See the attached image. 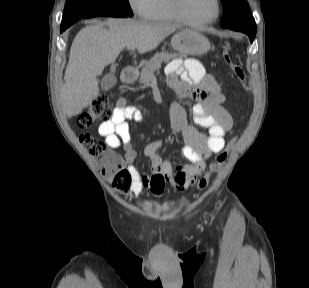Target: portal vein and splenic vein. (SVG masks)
Returning <instances> with one entry per match:
<instances>
[{
  "mask_svg": "<svg viewBox=\"0 0 309 288\" xmlns=\"http://www.w3.org/2000/svg\"><path fill=\"white\" fill-rule=\"evenodd\" d=\"M127 49H129V50L133 51L135 48H134V47L129 46V47H127Z\"/></svg>",
  "mask_w": 309,
  "mask_h": 288,
  "instance_id": "obj_1",
  "label": "portal vein and splenic vein"
}]
</instances>
